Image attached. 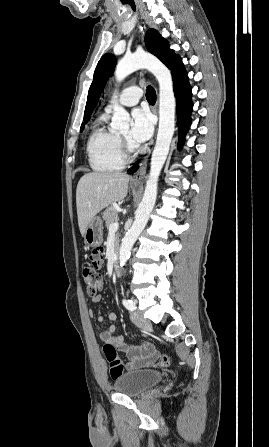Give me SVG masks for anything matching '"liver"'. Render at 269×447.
<instances>
[{
	"label": "liver",
	"mask_w": 269,
	"mask_h": 447,
	"mask_svg": "<svg viewBox=\"0 0 269 447\" xmlns=\"http://www.w3.org/2000/svg\"><path fill=\"white\" fill-rule=\"evenodd\" d=\"M130 176L121 172H91L78 182L76 206L79 229L84 235L87 225L112 202L124 200Z\"/></svg>",
	"instance_id": "6515ba94"
}]
</instances>
